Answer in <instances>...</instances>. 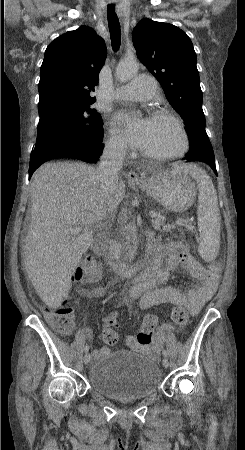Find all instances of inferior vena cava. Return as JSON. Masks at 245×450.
Segmentation results:
<instances>
[{"label": "inferior vena cava", "mask_w": 245, "mask_h": 450, "mask_svg": "<svg viewBox=\"0 0 245 450\" xmlns=\"http://www.w3.org/2000/svg\"><path fill=\"white\" fill-rule=\"evenodd\" d=\"M126 155V145L119 141L106 144L100 158V164L96 171L100 182V188L105 198L111 202L112 195L119 180V171L122 168ZM115 209H111V214Z\"/></svg>", "instance_id": "obj_1"}]
</instances>
